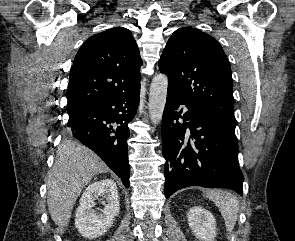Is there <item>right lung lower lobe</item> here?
I'll use <instances>...</instances> for the list:
<instances>
[{"label": "right lung lower lobe", "mask_w": 295, "mask_h": 241, "mask_svg": "<svg viewBox=\"0 0 295 241\" xmlns=\"http://www.w3.org/2000/svg\"><path fill=\"white\" fill-rule=\"evenodd\" d=\"M140 83L131 90L94 99L68 112L70 135L93 150L129 187L128 123L134 118Z\"/></svg>", "instance_id": "right-lung-lower-lobe-1"}]
</instances>
